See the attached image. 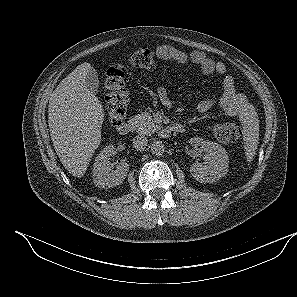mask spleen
I'll return each instance as SVG.
<instances>
[{
    "label": "spleen",
    "mask_w": 297,
    "mask_h": 297,
    "mask_svg": "<svg viewBox=\"0 0 297 297\" xmlns=\"http://www.w3.org/2000/svg\"><path fill=\"white\" fill-rule=\"evenodd\" d=\"M244 123V141L245 151L248 161H252L259 140V120L255 111H251L248 115L242 118Z\"/></svg>",
    "instance_id": "3e777b00"
}]
</instances>
